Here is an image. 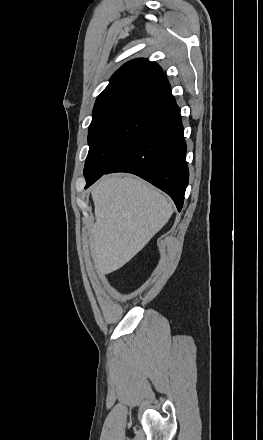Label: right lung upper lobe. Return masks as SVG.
I'll return each mask as SVG.
<instances>
[{
    "label": "right lung upper lobe",
    "instance_id": "cb5924a9",
    "mask_svg": "<svg viewBox=\"0 0 263 440\" xmlns=\"http://www.w3.org/2000/svg\"><path fill=\"white\" fill-rule=\"evenodd\" d=\"M171 96L170 84L159 65L145 59L132 60L111 77L95 102L93 117L113 108L159 106Z\"/></svg>",
    "mask_w": 263,
    "mask_h": 440
}]
</instances>
